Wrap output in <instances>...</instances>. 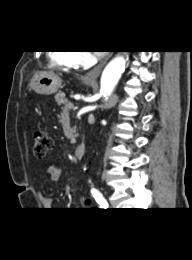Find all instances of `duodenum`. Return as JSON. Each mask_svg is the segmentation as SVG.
<instances>
[{"instance_id": "obj_1", "label": "duodenum", "mask_w": 192, "mask_h": 260, "mask_svg": "<svg viewBox=\"0 0 192 260\" xmlns=\"http://www.w3.org/2000/svg\"><path fill=\"white\" fill-rule=\"evenodd\" d=\"M86 153V144L80 143L74 150L75 157L81 159Z\"/></svg>"}]
</instances>
